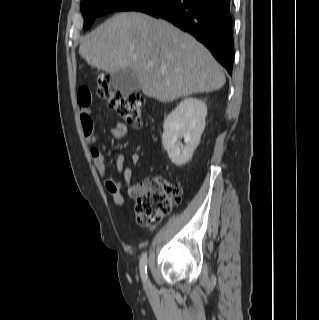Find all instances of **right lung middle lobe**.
I'll return each mask as SVG.
<instances>
[{
	"label": "right lung middle lobe",
	"mask_w": 319,
	"mask_h": 320,
	"mask_svg": "<svg viewBox=\"0 0 319 320\" xmlns=\"http://www.w3.org/2000/svg\"><path fill=\"white\" fill-rule=\"evenodd\" d=\"M156 0H82L81 12L84 16V29H88L97 16L113 11H136Z\"/></svg>",
	"instance_id": "obj_1"
}]
</instances>
